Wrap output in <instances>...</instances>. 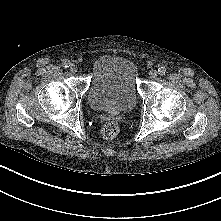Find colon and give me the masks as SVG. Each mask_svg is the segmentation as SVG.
Segmentation results:
<instances>
[{
    "label": "colon",
    "instance_id": "obj_1",
    "mask_svg": "<svg viewBox=\"0 0 221 221\" xmlns=\"http://www.w3.org/2000/svg\"><path fill=\"white\" fill-rule=\"evenodd\" d=\"M119 127L113 121L106 122L102 127V135L106 139H113L118 135Z\"/></svg>",
    "mask_w": 221,
    "mask_h": 221
}]
</instances>
